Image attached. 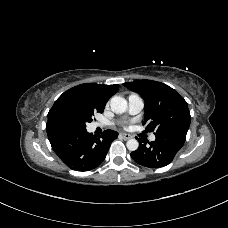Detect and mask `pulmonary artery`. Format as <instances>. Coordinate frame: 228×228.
I'll list each match as a JSON object with an SVG mask.
<instances>
[{"mask_svg":"<svg viewBox=\"0 0 228 228\" xmlns=\"http://www.w3.org/2000/svg\"><path fill=\"white\" fill-rule=\"evenodd\" d=\"M144 107V101L138 94L132 93L128 96V110L131 115L138 114ZM99 126V124H97ZM156 136L152 134L150 140L154 141Z\"/></svg>","mask_w":228,"mask_h":228,"instance_id":"1","label":"pulmonary artery"}]
</instances>
